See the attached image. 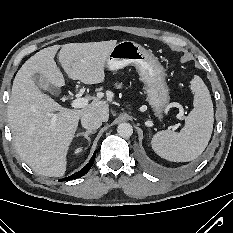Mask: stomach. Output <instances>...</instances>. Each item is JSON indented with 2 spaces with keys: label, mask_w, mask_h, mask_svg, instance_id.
I'll use <instances>...</instances> for the list:
<instances>
[{
  "label": "stomach",
  "mask_w": 233,
  "mask_h": 233,
  "mask_svg": "<svg viewBox=\"0 0 233 233\" xmlns=\"http://www.w3.org/2000/svg\"><path fill=\"white\" fill-rule=\"evenodd\" d=\"M128 65L136 68L147 94L146 101L158 119L170 101L169 89L165 81V71L158 59L148 50L133 41L118 42L110 51L106 67L117 71Z\"/></svg>",
  "instance_id": "stomach-1"
}]
</instances>
